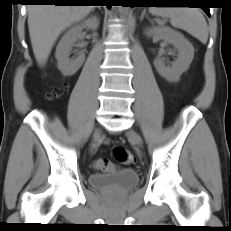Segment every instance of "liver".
<instances>
[{
	"instance_id": "6515ba94",
	"label": "liver",
	"mask_w": 231,
	"mask_h": 231,
	"mask_svg": "<svg viewBox=\"0 0 231 231\" xmlns=\"http://www.w3.org/2000/svg\"><path fill=\"white\" fill-rule=\"evenodd\" d=\"M94 6L30 5L28 28L37 62L44 64L59 35L72 23L84 18Z\"/></svg>"
}]
</instances>
